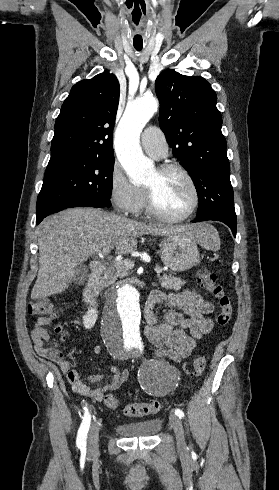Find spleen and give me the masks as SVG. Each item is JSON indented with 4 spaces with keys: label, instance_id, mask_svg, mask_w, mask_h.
Returning a JSON list of instances; mask_svg holds the SVG:
<instances>
[{
    "label": "spleen",
    "instance_id": "1",
    "mask_svg": "<svg viewBox=\"0 0 279 490\" xmlns=\"http://www.w3.org/2000/svg\"><path fill=\"white\" fill-rule=\"evenodd\" d=\"M197 242H199L202 248L205 250H211V252H218L220 250V238L217 230L206 224L204 232L200 234Z\"/></svg>",
    "mask_w": 279,
    "mask_h": 490
}]
</instances>
